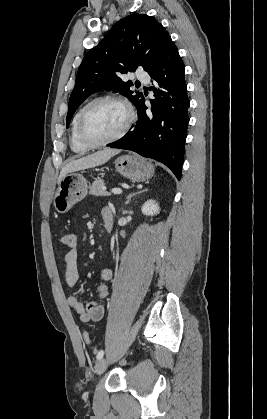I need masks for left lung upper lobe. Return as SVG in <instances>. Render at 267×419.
Segmentation results:
<instances>
[{
	"mask_svg": "<svg viewBox=\"0 0 267 419\" xmlns=\"http://www.w3.org/2000/svg\"><path fill=\"white\" fill-rule=\"evenodd\" d=\"M170 40L162 24L146 14H131L118 21L85 55L78 69L68 105L67 127L80 104L98 91L119 92L136 105L143 95L130 90L133 83L124 82L121 75L134 72L138 67L150 71Z\"/></svg>",
	"mask_w": 267,
	"mask_h": 419,
	"instance_id": "left-lung-upper-lobe-1",
	"label": "left lung upper lobe"
}]
</instances>
